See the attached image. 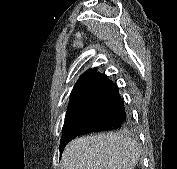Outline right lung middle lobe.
I'll use <instances>...</instances> for the list:
<instances>
[{
    "label": "right lung middle lobe",
    "mask_w": 177,
    "mask_h": 169,
    "mask_svg": "<svg viewBox=\"0 0 177 169\" xmlns=\"http://www.w3.org/2000/svg\"><path fill=\"white\" fill-rule=\"evenodd\" d=\"M89 97L87 92L71 96L65 121L75 117L87 105Z\"/></svg>",
    "instance_id": "right-lung-middle-lobe-1"
}]
</instances>
